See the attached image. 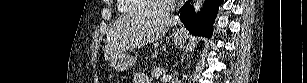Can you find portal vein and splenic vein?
I'll use <instances>...</instances> for the list:
<instances>
[{
	"mask_svg": "<svg viewBox=\"0 0 307 83\" xmlns=\"http://www.w3.org/2000/svg\"><path fill=\"white\" fill-rule=\"evenodd\" d=\"M162 80H163L164 82L170 81V80H171V76H169V75H163Z\"/></svg>",
	"mask_w": 307,
	"mask_h": 83,
	"instance_id": "obj_1",
	"label": "portal vein and splenic vein"
}]
</instances>
